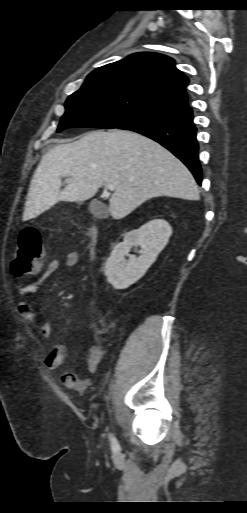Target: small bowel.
<instances>
[{"instance_id": "c3829d8e", "label": "small bowel", "mask_w": 247, "mask_h": 513, "mask_svg": "<svg viewBox=\"0 0 247 513\" xmlns=\"http://www.w3.org/2000/svg\"><path fill=\"white\" fill-rule=\"evenodd\" d=\"M64 264L67 268H75L79 264V254L75 251H69L65 255ZM59 268V260L53 258L49 261L47 267L42 271L39 279L30 282L23 286L19 293V299L17 303L18 311L22 316L29 321L36 331L44 339H50L51 337V326L48 321L39 319L37 315L32 311V307L29 301L31 295L35 292L40 284H42L47 278L52 276ZM69 353V348L66 344H55L51 351L44 359V364L49 370H58L64 364L66 356ZM102 350L99 346H91L86 355L84 364L85 368L89 373H94L101 361ZM61 381L65 387L71 389H84L89 383L90 379H81L77 373L73 371H67L62 373Z\"/></svg>"}]
</instances>
